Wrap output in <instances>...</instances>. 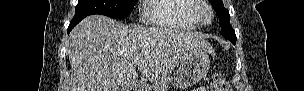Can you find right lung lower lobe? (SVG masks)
Here are the masks:
<instances>
[{"label":"right lung lower lobe","mask_w":304,"mask_h":91,"mask_svg":"<svg viewBox=\"0 0 304 91\" xmlns=\"http://www.w3.org/2000/svg\"><path fill=\"white\" fill-rule=\"evenodd\" d=\"M85 17H76L74 16L72 21L70 22V25L68 27V33Z\"/></svg>","instance_id":"1"}]
</instances>
